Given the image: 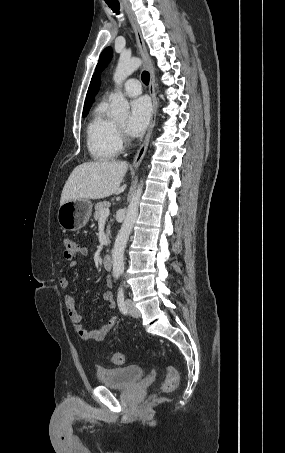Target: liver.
<instances>
[{
    "label": "liver",
    "instance_id": "liver-1",
    "mask_svg": "<svg viewBox=\"0 0 285 453\" xmlns=\"http://www.w3.org/2000/svg\"><path fill=\"white\" fill-rule=\"evenodd\" d=\"M128 164L124 161L99 160L78 165L70 174L62 190L60 205L77 199H101L120 194V186Z\"/></svg>",
    "mask_w": 285,
    "mask_h": 453
}]
</instances>
